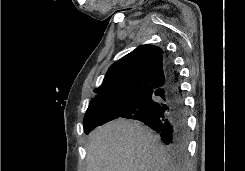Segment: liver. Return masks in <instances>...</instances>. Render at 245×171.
<instances>
[{
  "label": "liver",
  "mask_w": 245,
  "mask_h": 171,
  "mask_svg": "<svg viewBox=\"0 0 245 171\" xmlns=\"http://www.w3.org/2000/svg\"><path fill=\"white\" fill-rule=\"evenodd\" d=\"M86 171H178L158 136L138 121L118 119L95 129Z\"/></svg>",
  "instance_id": "1"
}]
</instances>
